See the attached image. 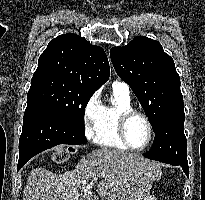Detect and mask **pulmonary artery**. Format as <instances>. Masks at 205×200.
Segmentation results:
<instances>
[{
  "mask_svg": "<svg viewBox=\"0 0 205 200\" xmlns=\"http://www.w3.org/2000/svg\"><path fill=\"white\" fill-rule=\"evenodd\" d=\"M112 86L114 90H117L127 96H130V88L127 83L123 81H115Z\"/></svg>",
  "mask_w": 205,
  "mask_h": 200,
  "instance_id": "obj_1",
  "label": "pulmonary artery"
}]
</instances>
